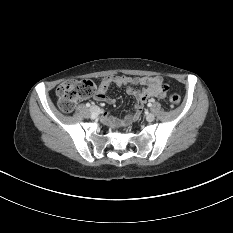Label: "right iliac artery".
<instances>
[{
  "label": "right iliac artery",
  "mask_w": 233,
  "mask_h": 233,
  "mask_svg": "<svg viewBox=\"0 0 233 233\" xmlns=\"http://www.w3.org/2000/svg\"><path fill=\"white\" fill-rule=\"evenodd\" d=\"M90 106H91L90 103H87V104H86V107H90Z\"/></svg>",
  "instance_id": "1"
}]
</instances>
